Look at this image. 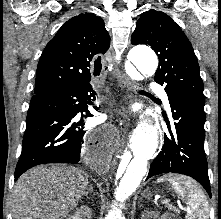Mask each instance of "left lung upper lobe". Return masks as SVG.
<instances>
[{"label":"left lung upper lobe","mask_w":221,"mask_h":219,"mask_svg":"<svg viewBox=\"0 0 221 219\" xmlns=\"http://www.w3.org/2000/svg\"><path fill=\"white\" fill-rule=\"evenodd\" d=\"M131 43L150 46L158 55L154 80L168 97L204 107L203 82L193 47L181 28L165 13L148 10L137 20Z\"/></svg>","instance_id":"5c2ea615"}]
</instances>
